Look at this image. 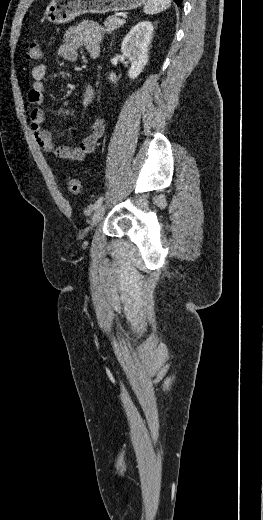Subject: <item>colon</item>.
Wrapping results in <instances>:
<instances>
[{
  "instance_id": "obj_1",
  "label": "colon",
  "mask_w": 263,
  "mask_h": 520,
  "mask_svg": "<svg viewBox=\"0 0 263 520\" xmlns=\"http://www.w3.org/2000/svg\"><path fill=\"white\" fill-rule=\"evenodd\" d=\"M27 58L29 60H39L41 58V49L38 42H31L27 49ZM67 190L72 195H79L82 192V184L75 177L66 178Z\"/></svg>"
}]
</instances>
